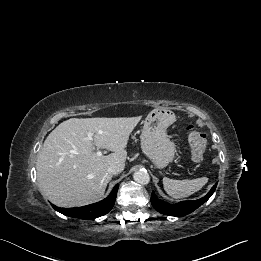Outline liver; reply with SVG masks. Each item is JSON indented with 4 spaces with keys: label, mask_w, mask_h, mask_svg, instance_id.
<instances>
[{
    "label": "liver",
    "mask_w": 261,
    "mask_h": 261,
    "mask_svg": "<svg viewBox=\"0 0 261 261\" xmlns=\"http://www.w3.org/2000/svg\"><path fill=\"white\" fill-rule=\"evenodd\" d=\"M141 120L130 118H71L60 123L46 138L36 169L41 194L60 207H78L99 201L112 179L107 169H124L129 136ZM88 133L93 141L87 139ZM113 153L98 156L93 150Z\"/></svg>",
    "instance_id": "obj_1"
}]
</instances>
